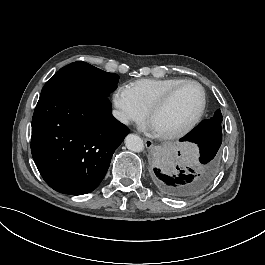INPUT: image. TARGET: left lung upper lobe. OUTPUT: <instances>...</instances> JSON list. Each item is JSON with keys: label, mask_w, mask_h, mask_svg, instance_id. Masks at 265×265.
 I'll use <instances>...</instances> for the list:
<instances>
[{"label": "left lung upper lobe", "mask_w": 265, "mask_h": 265, "mask_svg": "<svg viewBox=\"0 0 265 265\" xmlns=\"http://www.w3.org/2000/svg\"><path fill=\"white\" fill-rule=\"evenodd\" d=\"M209 120H211V122L214 125H217V126H221L222 127V114H221V111L220 110H217L215 112L214 116L211 117Z\"/></svg>", "instance_id": "1"}]
</instances>
